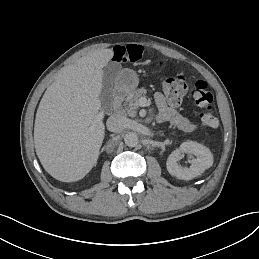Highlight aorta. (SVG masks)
<instances>
[{
    "label": "aorta",
    "mask_w": 259,
    "mask_h": 259,
    "mask_svg": "<svg viewBox=\"0 0 259 259\" xmlns=\"http://www.w3.org/2000/svg\"><path fill=\"white\" fill-rule=\"evenodd\" d=\"M124 142L129 147H135L139 143L138 135L135 132H128L124 136Z\"/></svg>",
    "instance_id": "obj_1"
}]
</instances>
